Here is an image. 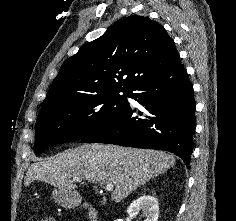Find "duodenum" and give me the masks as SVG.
Here are the masks:
<instances>
[{
	"label": "duodenum",
	"instance_id": "410a0bca",
	"mask_svg": "<svg viewBox=\"0 0 236 221\" xmlns=\"http://www.w3.org/2000/svg\"><path fill=\"white\" fill-rule=\"evenodd\" d=\"M86 208L88 211L90 221H98V215L96 210L91 205H87Z\"/></svg>",
	"mask_w": 236,
	"mask_h": 221
}]
</instances>
